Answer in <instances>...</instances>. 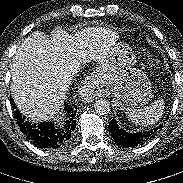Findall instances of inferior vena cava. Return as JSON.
<instances>
[{
  "mask_svg": "<svg viewBox=\"0 0 183 183\" xmlns=\"http://www.w3.org/2000/svg\"><path fill=\"white\" fill-rule=\"evenodd\" d=\"M81 68V62L78 60H71L65 67V72L68 77H74Z\"/></svg>",
  "mask_w": 183,
  "mask_h": 183,
  "instance_id": "1",
  "label": "inferior vena cava"
}]
</instances>
